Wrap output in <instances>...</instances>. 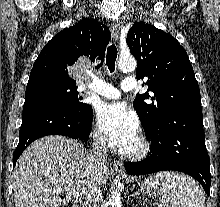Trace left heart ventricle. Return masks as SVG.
Segmentation results:
<instances>
[{"label":"left heart ventricle","mask_w":220,"mask_h":207,"mask_svg":"<svg viewBox=\"0 0 220 207\" xmlns=\"http://www.w3.org/2000/svg\"><path fill=\"white\" fill-rule=\"evenodd\" d=\"M139 148V141L138 137H136L134 140H132L130 143L122 147L121 149L127 152L135 151Z\"/></svg>","instance_id":"1"}]
</instances>
